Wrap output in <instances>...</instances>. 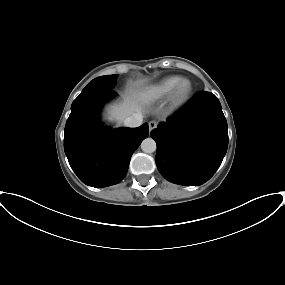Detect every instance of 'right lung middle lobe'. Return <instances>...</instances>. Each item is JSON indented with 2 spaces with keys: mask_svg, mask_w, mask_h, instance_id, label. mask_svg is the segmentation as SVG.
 <instances>
[{
  "mask_svg": "<svg viewBox=\"0 0 285 285\" xmlns=\"http://www.w3.org/2000/svg\"><path fill=\"white\" fill-rule=\"evenodd\" d=\"M117 75H106L100 76L93 79L80 93V95L74 100L72 106L82 100L84 97L96 94L102 91L112 90L115 82H116Z\"/></svg>",
  "mask_w": 285,
  "mask_h": 285,
  "instance_id": "obj_1",
  "label": "right lung middle lobe"
}]
</instances>
